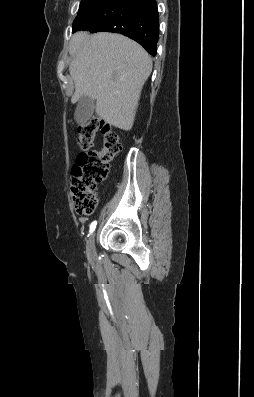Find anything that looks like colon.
Instances as JSON below:
<instances>
[{"label": "colon", "instance_id": "1", "mask_svg": "<svg viewBox=\"0 0 254 397\" xmlns=\"http://www.w3.org/2000/svg\"><path fill=\"white\" fill-rule=\"evenodd\" d=\"M97 133L103 136V147L92 150ZM77 143L82 152L72 168V198L78 214L90 215L95 211L98 202L96 188L107 178L110 162L121 150V141L110 124L94 116L79 126Z\"/></svg>", "mask_w": 254, "mask_h": 397}]
</instances>
